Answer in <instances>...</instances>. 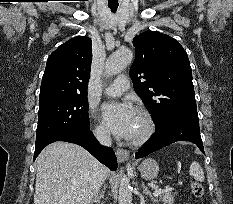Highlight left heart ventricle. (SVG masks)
Returning a JSON list of instances; mask_svg holds the SVG:
<instances>
[{
	"mask_svg": "<svg viewBox=\"0 0 233 204\" xmlns=\"http://www.w3.org/2000/svg\"><path fill=\"white\" fill-rule=\"evenodd\" d=\"M143 129H144L143 119L141 118V116L139 114L136 113L134 121H133V126H132L130 138H134V137H137L138 135H140L142 133Z\"/></svg>",
	"mask_w": 233,
	"mask_h": 204,
	"instance_id": "left-heart-ventricle-1",
	"label": "left heart ventricle"
}]
</instances>
